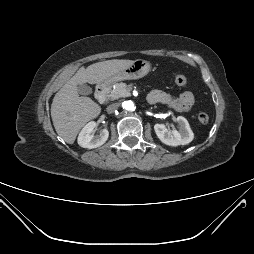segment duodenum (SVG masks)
Instances as JSON below:
<instances>
[{"label":"duodenum","mask_w":254,"mask_h":254,"mask_svg":"<svg viewBox=\"0 0 254 254\" xmlns=\"http://www.w3.org/2000/svg\"><path fill=\"white\" fill-rule=\"evenodd\" d=\"M107 93H108V88L106 85L100 84L97 86L95 91V97L100 104L105 103L107 99Z\"/></svg>","instance_id":"obj_1"}]
</instances>
